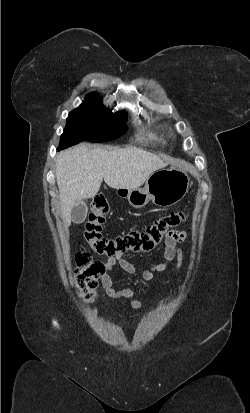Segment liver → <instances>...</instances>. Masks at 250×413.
<instances>
[{"instance_id":"6515ba94","label":"liver","mask_w":250,"mask_h":413,"mask_svg":"<svg viewBox=\"0 0 250 413\" xmlns=\"http://www.w3.org/2000/svg\"><path fill=\"white\" fill-rule=\"evenodd\" d=\"M173 160L136 147H92L81 144L60 152L56 158L62 219L71 224V211L83 199L94 197L102 180L114 189H135L155 171Z\"/></svg>"}]
</instances>
